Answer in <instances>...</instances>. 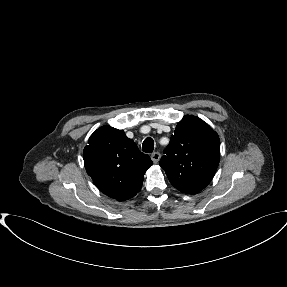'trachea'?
<instances>
[{
	"label": "trachea",
	"instance_id": "1",
	"mask_svg": "<svg viewBox=\"0 0 287 287\" xmlns=\"http://www.w3.org/2000/svg\"><path fill=\"white\" fill-rule=\"evenodd\" d=\"M142 150L146 153H151L154 150V141L152 138L148 137L144 140L142 144Z\"/></svg>",
	"mask_w": 287,
	"mask_h": 287
}]
</instances>
